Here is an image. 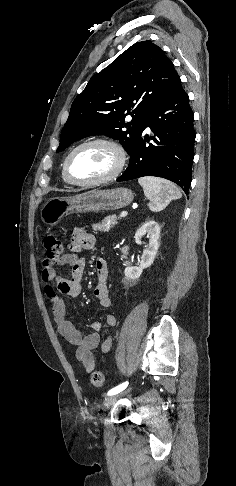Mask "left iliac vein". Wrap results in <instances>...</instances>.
<instances>
[{"label":"left iliac vein","mask_w":236,"mask_h":486,"mask_svg":"<svg viewBox=\"0 0 236 486\" xmlns=\"http://www.w3.org/2000/svg\"><path fill=\"white\" fill-rule=\"evenodd\" d=\"M125 393L114 394V395H110L107 398H105V400L103 402V408L109 409L111 406H113L116 403V401L120 398V396L125 394Z\"/></svg>","instance_id":"left-iliac-vein-1"}]
</instances>
